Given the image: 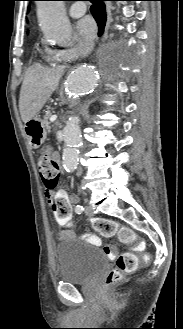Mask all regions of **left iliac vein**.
Here are the masks:
<instances>
[{
  "instance_id": "obj_1",
  "label": "left iliac vein",
  "mask_w": 183,
  "mask_h": 329,
  "mask_svg": "<svg viewBox=\"0 0 183 329\" xmlns=\"http://www.w3.org/2000/svg\"><path fill=\"white\" fill-rule=\"evenodd\" d=\"M85 214L89 217H92L94 215L93 209L90 205L85 206Z\"/></svg>"
}]
</instances>
